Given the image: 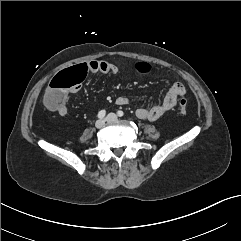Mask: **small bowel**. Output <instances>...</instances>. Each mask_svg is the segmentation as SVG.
Masks as SVG:
<instances>
[{
	"mask_svg": "<svg viewBox=\"0 0 241 241\" xmlns=\"http://www.w3.org/2000/svg\"><path fill=\"white\" fill-rule=\"evenodd\" d=\"M86 64L90 67V72H98L105 75H117L119 68L116 64L110 63L107 61H89ZM81 86L77 85L70 92L76 93L80 90ZM186 93L185 86L180 83H174L168 90L166 96L160 104H157L153 107H139L136 111L137 116L140 119H145L149 121H155L170 111L177 103L179 97L184 96ZM68 98V93H65L63 96V101L52 108H49L51 111L56 112L60 116L68 115V108L66 106V100ZM130 99L126 96H118L115 98V104L118 106L128 105Z\"/></svg>",
	"mask_w": 241,
	"mask_h": 241,
	"instance_id": "small-bowel-1",
	"label": "small bowel"
}]
</instances>
